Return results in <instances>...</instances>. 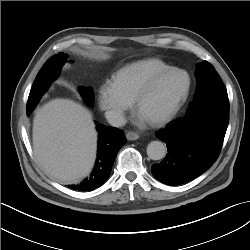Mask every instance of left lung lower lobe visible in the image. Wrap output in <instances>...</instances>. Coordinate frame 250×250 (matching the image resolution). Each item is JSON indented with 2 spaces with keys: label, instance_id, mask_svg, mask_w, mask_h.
<instances>
[{
  "label": "left lung lower lobe",
  "instance_id": "left-lung-lower-lobe-1",
  "mask_svg": "<svg viewBox=\"0 0 250 250\" xmlns=\"http://www.w3.org/2000/svg\"><path fill=\"white\" fill-rule=\"evenodd\" d=\"M229 122L225 86L206 91L187 113L156 134L167 146L165 158L151 167L152 174L168 185L190 181L217 160Z\"/></svg>",
  "mask_w": 250,
  "mask_h": 250
}]
</instances>
